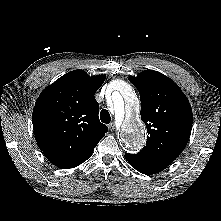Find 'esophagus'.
<instances>
[{
  "instance_id": "obj_1",
  "label": "esophagus",
  "mask_w": 221,
  "mask_h": 221,
  "mask_svg": "<svg viewBox=\"0 0 221 221\" xmlns=\"http://www.w3.org/2000/svg\"><path fill=\"white\" fill-rule=\"evenodd\" d=\"M108 128H109L110 131H114L115 130V124L114 123H110L108 125Z\"/></svg>"
}]
</instances>
